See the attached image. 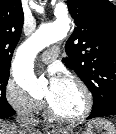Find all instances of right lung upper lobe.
I'll return each mask as SVG.
<instances>
[{
	"label": "right lung upper lobe",
	"mask_w": 116,
	"mask_h": 134,
	"mask_svg": "<svg viewBox=\"0 0 116 134\" xmlns=\"http://www.w3.org/2000/svg\"><path fill=\"white\" fill-rule=\"evenodd\" d=\"M24 14L21 0H0V71L10 69L21 36Z\"/></svg>",
	"instance_id": "cb5924a9"
}]
</instances>
